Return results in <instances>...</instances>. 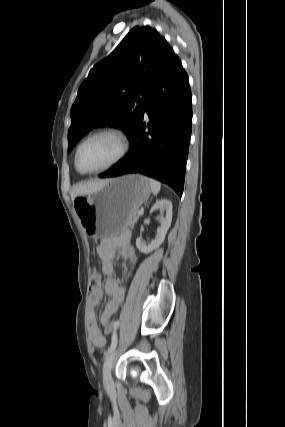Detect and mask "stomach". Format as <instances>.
I'll return each instance as SVG.
<instances>
[{"label": "stomach", "instance_id": "1", "mask_svg": "<svg viewBox=\"0 0 285 427\" xmlns=\"http://www.w3.org/2000/svg\"><path fill=\"white\" fill-rule=\"evenodd\" d=\"M148 178L138 174L110 179L98 191L77 196L73 208L85 232L95 238L118 235L131 216L149 198Z\"/></svg>", "mask_w": 285, "mask_h": 427}]
</instances>
